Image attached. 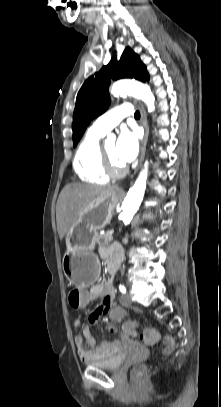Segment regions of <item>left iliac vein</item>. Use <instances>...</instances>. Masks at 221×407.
<instances>
[{"label": "left iliac vein", "mask_w": 221, "mask_h": 407, "mask_svg": "<svg viewBox=\"0 0 221 407\" xmlns=\"http://www.w3.org/2000/svg\"><path fill=\"white\" fill-rule=\"evenodd\" d=\"M122 302L125 305H130L132 303L131 295L129 293H125L124 295H122Z\"/></svg>", "instance_id": "obj_1"}]
</instances>
